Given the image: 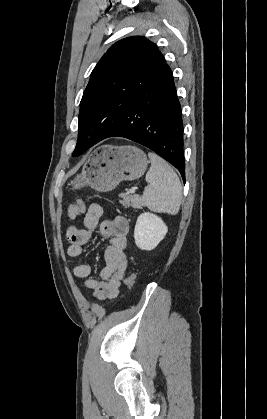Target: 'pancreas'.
Returning a JSON list of instances; mask_svg holds the SVG:
<instances>
[{"mask_svg": "<svg viewBox=\"0 0 267 419\" xmlns=\"http://www.w3.org/2000/svg\"><path fill=\"white\" fill-rule=\"evenodd\" d=\"M119 197L122 198L120 203L126 208L131 206L135 209H142L143 207V200L140 196L121 193Z\"/></svg>", "mask_w": 267, "mask_h": 419, "instance_id": "obj_1", "label": "pancreas"}]
</instances>
